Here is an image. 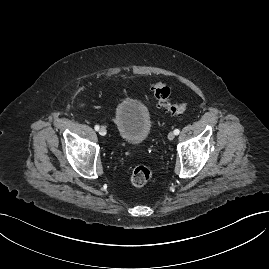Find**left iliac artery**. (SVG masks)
<instances>
[{
    "mask_svg": "<svg viewBox=\"0 0 269 269\" xmlns=\"http://www.w3.org/2000/svg\"><path fill=\"white\" fill-rule=\"evenodd\" d=\"M179 133H180V130H179V129H175V130H174V134H175V135H178Z\"/></svg>",
    "mask_w": 269,
    "mask_h": 269,
    "instance_id": "44dca946",
    "label": "left iliac artery"
}]
</instances>
